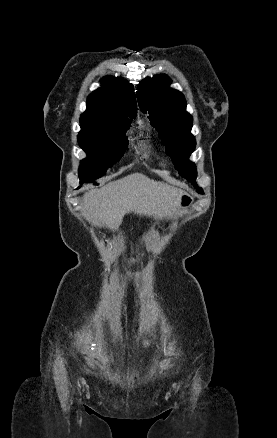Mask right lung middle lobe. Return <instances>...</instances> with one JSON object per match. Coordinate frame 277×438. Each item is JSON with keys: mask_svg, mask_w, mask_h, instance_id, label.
<instances>
[{"mask_svg": "<svg viewBox=\"0 0 277 438\" xmlns=\"http://www.w3.org/2000/svg\"><path fill=\"white\" fill-rule=\"evenodd\" d=\"M129 127L130 120L108 126L81 125L78 142L88 156L80 164L81 181L90 182L101 177L120 159L127 149L125 133Z\"/></svg>", "mask_w": 277, "mask_h": 438, "instance_id": "right-lung-middle-lobe-1", "label": "right lung middle lobe"}]
</instances>
